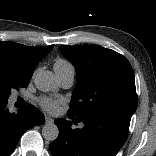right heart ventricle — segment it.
Segmentation results:
<instances>
[{
	"label": "right heart ventricle",
	"mask_w": 156,
	"mask_h": 156,
	"mask_svg": "<svg viewBox=\"0 0 156 156\" xmlns=\"http://www.w3.org/2000/svg\"><path fill=\"white\" fill-rule=\"evenodd\" d=\"M54 65L58 67L59 69L72 66L68 61L63 60V59H58Z\"/></svg>",
	"instance_id": "e07e8e85"
}]
</instances>
